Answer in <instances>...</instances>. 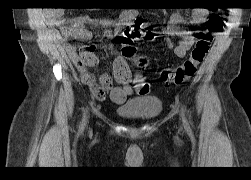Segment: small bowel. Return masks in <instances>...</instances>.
Masks as SVG:
<instances>
[{
	"label": "small bowel",
	"mask_w": 251,
	"mask_h": 180,
	"mask_svg": "<svg viewBox=\"0 0 251 180\" xmlns=\"http://www.w3.org/2000/svg\"><path fill=\"white\" fill-rule=\"evenodd\" d=\"M208 11L205 8H195L192 16L187 19L180 12L174 13L164 30L167 37L168 47L171 48L175 56L183 58L191 49L194 43L193 32L181 27L183 24H190L200 27L206 21ZM48 22L51 25L63 23V11L53 10L48 12ZM139 12L136 9H126L121 12L116 20H100L99 22L107 27H112L115 34L122 29L132 25L138 20ZM92 20L86 16H76L68 21V25L63 27L61 32L63 36L64 47L70 58L76 63L82 82L89 88L91 94L99 100H103L108 93L111 100L115 103H123L127 97L134 93L145 96L150 92V85L140 76H133L129 65L124 57L118 54L112 45H107V49L115 55L113 62L112 75L104 72L100 75L98 81L88 71L98 63L95 55V45L90 43L80 48L79 53L75 46L69 41L85 40L90 41L93 38L92 33L86 25ZM178 38L174 45L171 38Z\"/></svg>",
	"instance_id": "1"
}]
</instances>
